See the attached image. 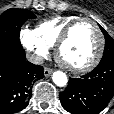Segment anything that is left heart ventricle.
<instances>
[{
    "mask_svg": "<svg viewBox=\"0 0 114 114\" xmlns=\"http://www.w3.org/2000/svg\"><path fill=\"white\" fill-rule=\"evenodd\" d=\"M99 37L90 22H81L72 32L64 45L61 55L71 66H83L89 63L97 52Z\"/></svg>",
    "mask_w": 114,
    "mask_h": 114,
    "instance_id": "1",
    "label": "left heart ventricle"
}]
</instances>
